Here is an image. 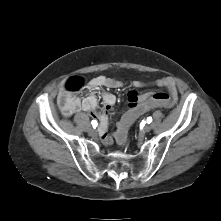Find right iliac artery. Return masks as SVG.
Here are the masks:
<instances>
[{"instance_id": "1", "label": "right iliac artery", "mask_w": 221, "mask_h": 221, "mask_svg": "<svg viewBox=\"0 0 221 221\" xmlns=\"http://www.w3.org/2000/svg\"><path fill=\"white\" fill-rule=\"evenodd\" d=\"M91 125L93 126V128L97 127V121L96 120H92Z\"/></svg>"}]
</instances>
